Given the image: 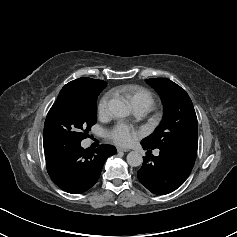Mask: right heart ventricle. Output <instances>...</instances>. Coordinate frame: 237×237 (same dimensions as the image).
Masks as SVG:
<instances>
[{
  "label": "right heart ventricle",
  "instance_id": "obj_1",
  "mask_svg": "<svg viewBox=\"0 0 237 237\" xmlns=\"http://www.w3.org/2000/svg\"><path fill=\"white\" fill-rule=\"evenodd\" d=\"M118 92L123 94L130 101L133 107L145 106L151 109L154 104L152 94L139 85H124L118 89Z\"/></svg>",
  "mask_w": 237,
  "mask_h": 237
}]
</instances>
